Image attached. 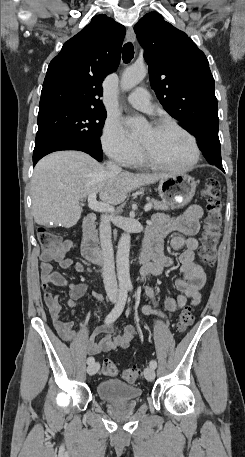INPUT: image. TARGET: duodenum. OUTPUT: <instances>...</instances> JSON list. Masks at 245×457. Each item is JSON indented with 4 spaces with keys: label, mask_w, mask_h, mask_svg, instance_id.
<instances>
[{
    "label": "duodenum",
    "mask_w": 245,
    "mask_h": 457,
    "mask_svg": "<svg viewBox=\"0 0 245 457\" xmlns=\"http://www.w3.org/2000/svg\"><path fill=\"white\" fill-rule=\"evenodd\" d=\"M96 224V216L89 214L85 217L83 222V256L85 259L96 265H103L105 262V255L97 247L94 240V229ZM152 259V251L143 248L138 256L140 264H146Z\"/></svg>",
    "instance_id": "duodenum-1"
}]
</instances>
